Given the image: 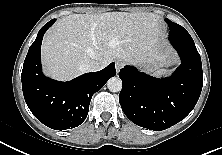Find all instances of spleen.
Listing matches in <instances>:
<instances>
[{"instance_id":"1","label":"spleen","mask_w":222,"mask_h":155,"mask_svg":"<svg viewBox=\"0 0 222 155\" xmlns=\"http://www.w3.org/2000/svg\"><path fill=\"white\" fill-rule=\"evenodd\" d=\"M167 72H168V70L162 69V70L158 71V72L156 73V75H164V74L167 73Z\"/></svg>"}]
</instances>
